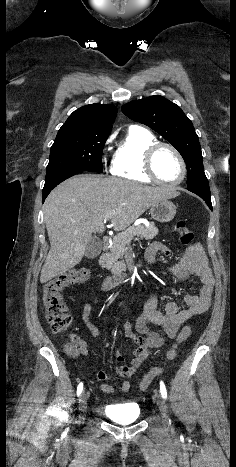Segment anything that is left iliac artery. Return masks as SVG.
Segmentation results:
<instances>
[{
	"instance_id": "obj_1",
	"label": "left iliac artery",
	"mask_w": 236,
	"mask_h": 467,
	"mask_svg": "<svg viewBox=\"0 0 236 467\" xmlns=\"http://www.w3.org/2000/svg\"><path fill=\"white\" fill-rule=\"evenodd\" d=\"M160 393L164 399L167 398V391H166V387L163 381L160 382Z\"/></svg>"
}]
</instances>
